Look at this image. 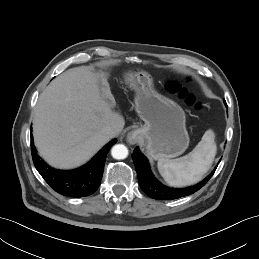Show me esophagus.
Wrapping results in <instances>:
<instances>
[{"mask_svg":"<svg viewBox=\"0 0 259 259\" xmlns=\"http://www.w3.org/2000/svg\"><path fill=\"white\" fill-rule=\"evenodd\" d=\"M141 134L140 131L135 129V130H131L128 134H127V141L130 144H136L138 142V140L140 139Z\"/></svg>","mask_w":259,"mask_h":259,"instance_id":"obj_1","label":"esophagus"}]
</instances>
